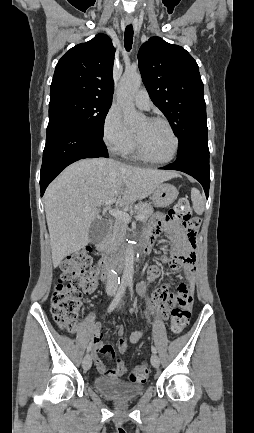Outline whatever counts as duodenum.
<instances>
[{
	"label": "duodenum",
	"mask_w": 254,
	"mask_h": 433,
	"mask_svg": "<svg viewBox=\"0 0 254 433\" xmlns=\"http://www.w3.org/2000/svg\"><path fill=\"white\" fill-rule=\"evenodd\" d=\"M152 241L148 238H143L140 242V246L144 250H148L151 247ZM138 246L129 244L124 249H122L119 253L113 256H106L102 258L101 265L104 274L110 273L112 270H121L125 265L130 264V262H125V255L134 254ZM100 250H103L102 246H98Z\"/></svg>",
	"instance_id": "1"
}]
</instances>
